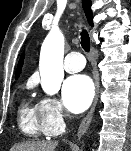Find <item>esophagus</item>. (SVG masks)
<instances>
[{"label":"esophagus","instance_id":"esophagus-1","mask_svg":"<svg viewBox=\"0 0 131 151\" xmlns=\"http://www.w3.org/2000/svg\"><path fill=\"white\" fill-rule=\"evenodd\" d=\"M93 78H94V83H95V97H94L93 104H92L88 114L84 117V119L82 120V122L78 128V132H77L78 138H81L88 130V127L93 118L95 107H96V104L98 101L100 84H99V74H98V71L96 68H94V71H93Z\"/></svg>","mask_w":131,"mask_h":151}]
</instances>
